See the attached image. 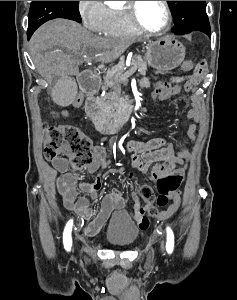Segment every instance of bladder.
Wrapping results in <instances>:
<instances>
[{
    "instance_id": "obj_1",
    "label": "bladder",
    "mask_w": 237,
    "mask_h": 300,
    "mask_svg": "<svg viewBox=\"0 0 237 300\" xmlns=\"http://www.w3.org/2000/svg\"><path fill=\"white\" fill-rule=\"evenodd\" d=\"M138 237L139 228L126 213L116 215L109 223L105 233L107 242L119 247H127L134 244Z\"/></svg>"
}]
</instances>
